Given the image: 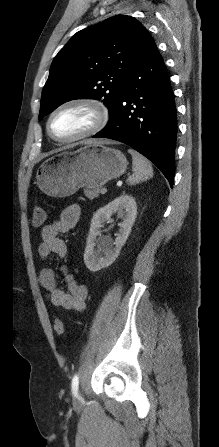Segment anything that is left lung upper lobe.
<instances>
[{"label":"left lung upper lobe","instance_id":"1","mask_svg":"<svg viewBox=\"0 0 219 447\" xmlns=\"http://www.w3.org/2000/svg\"><path fill=\"white\" fill-rule=\"evenodd\" d=\"M151 38L139 21L125 15L77 32L52 62L39 120L78 98L102 99L111 115L130 70Z\"/></svg>","mask_w":219,"mask_h":447}]
</instances>
